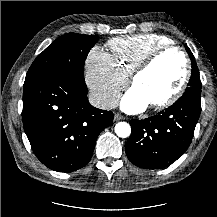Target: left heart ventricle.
Returning <instances> with one entry per match:
<instances>
[{
    "mask_svg": "<svg viewBox=\"0 0 217 217\" xmlns=\"http://www.w3.org/2000/svg\"><path fill=\"white\" fill-rule=\"evenodd\" d=\"M184 61L177 52L161 56L136 80V89L148 102L154 103L170 96L184 75Z\"/></svg>",
    "mask_w": 217,
    "mask_h": 217,
    "instance_id": "1",
    "label": "left heart ventricle"
}]
</instances>
